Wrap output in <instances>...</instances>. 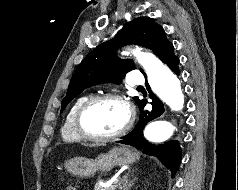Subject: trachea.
I'll return each instance as SVG.
<instances>
[{"mask_svg": "<svg viewBox=\"0 0 238 190\" xmlns=\"http://www.w3.org/2000/svg\"><path fill=\"white\" fill-rule=\"evenodd\" d=\"M143 88L142 86H139L138 89Z\"/></svg>", "mask_w": 238, "mask_h": 190, "instance_id": "3493384b", "label": "trachea"}]
</instances>
